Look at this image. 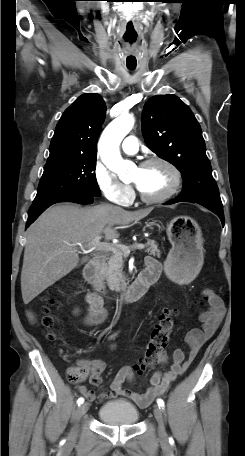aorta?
I'll list each match as a JSON object with an SVG mask.
<instances>
[{"label": "aorta", "mask_w": 245, "mask_h": 456, "mask_svg": "<svg viewBox=\"0 0 245 456\" xmlns=\"http://www.w3.org/2000/svg\"><path fill=\"white\" fill-rule=\"evenodd\" d=\"M133 125V116L128 114L119 116L105 128L98 143L102 162L120 178L125 177L132 167V162L122 158L119 146L124 137L131 131Z\"/></svg>", "instance_id": "aorta-1"}]
</instances>
